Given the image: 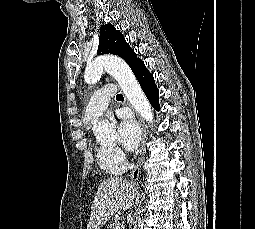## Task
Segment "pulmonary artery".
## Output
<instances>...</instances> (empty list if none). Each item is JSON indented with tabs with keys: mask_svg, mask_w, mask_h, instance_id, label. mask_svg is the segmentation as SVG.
Here are the masks:
<instances>
[{
	"mask_svg": "<svg viewBox=\"0 0 255 229\" xmlns=\"http://www.w3.org/2000/svg\"><path fill=\"white\" fill-rule=\"evenodd\" d=\"M116 94V87L113 84H106L95 91L86 107L84 119L88 123L96 122L108 107L111 97Z\"/></svg>",
	"mask_w": 255,
	"mask_h": 229,
	"instance_id": "obj_1",
	"label": "pulmonary artery"
}]
</instances>
